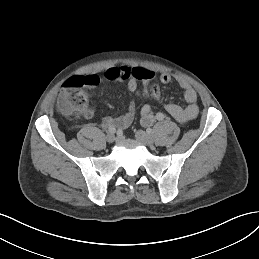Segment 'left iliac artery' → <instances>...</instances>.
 I'll use <instances>...</instances> for the list:
<instances>
[{
  "mask_svg": "<svg viewBox=\"0 0 259 259\" xmlns=\"http://www.w3.org/2000/svg\"><path fill=\"white\" fill-rule=\"evenodd\" d=\"M164 118H165V115H164L163 113L158 112V113L156 114V119H157L158 121H162Z\"/></svg>",
  "mask_w": 259,
  "mask_h": 259,
  "instance_id": "left-iliac-artery-1",
  "label": "left iliac artery"
}]
</instances>
